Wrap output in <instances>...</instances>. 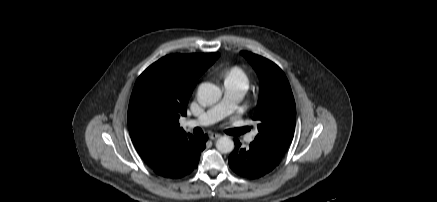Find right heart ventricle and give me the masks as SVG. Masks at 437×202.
<instances>
[{
	"instance_id": "obj_1",
	"label": "right heart ventricle",
	"mask_w": 437,
	"mask_h": 202,
	"mask_svg": "<svg viewBox=\"0 0 437 202\" xmlns=\"http://www.w3.org/2000/svg\"><path fill=\"white\" fill-rule=\"evenodd\" d=\"M226 80H235L247 83V76L241 68L233 67L225 74V81Z\"/></svg>"
}]
</instances>
